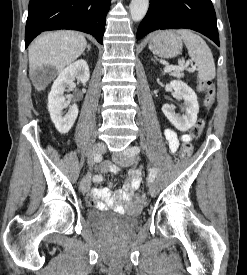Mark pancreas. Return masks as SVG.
I'll use <instances>...</instances> for the list:
<instances>
[{
    "label": "pancreas",
    "instance_id": "cf45deb5",
    "mask_svg": "<svg viewBox=\"0 0 247 275\" xmlns=\"http://www.w3.org/2000/svg\"><path fill=\"white\" fill-rule=\"evenodd\" d=\"M170 75L177 78L184 77V73L182 71H172L170 72Z\"/></svg>",
    "mask_w": 247,
    "mask_h": 275
}]
</instances>
